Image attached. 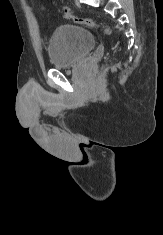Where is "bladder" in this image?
<instances>
[{
    "label": "bladder",
    "mask_w": 163,
    "mask_h": 235,
    "mask_svg": "<svg viewBox=\"0 0 163 235\" xmlns=\"http://www.w3.org/2000/svg\"><path fill=\"white\" fill-rule=\"evenodd\" d=\"M96 44V38L88 28L77 24L61 25L51 35L48 55L55 67L66 68L90 54Z\"/></svg>",
    "instance_id": "31cf9c89"
}]
</instances>
